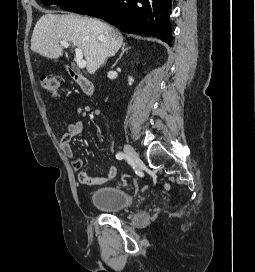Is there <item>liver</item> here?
<instances>
[{"instance_id":"obj_1","label":"liver","mask_w":255,"mask_h":272,"mask_svg":"<svg viewBox=\"0 0 255 272\" xmlns=\"http://www.w3.org/2000/svg\"><path fill=\"white\" fill-rule=\"evenodd\" d=\"M60 40L73 43L85 56L87 71L94 74L107 57L117 53L123 36L114 27L90 17L45 14L36 23L31 50L43 57L58 59L63 55Z\"/></svg>"}]
</instances>
